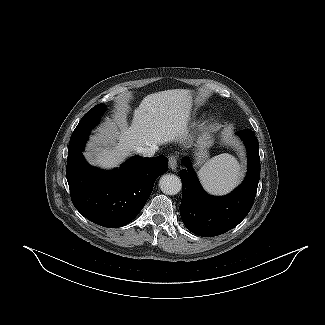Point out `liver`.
Returning <instances> with one entry per match:
<instances>
[{"instance_id": "obj_1", "label": "liver", "mask_w": 325, "mask_h": 325, "mask_svg": "<svg viewBox=\"0 0 325 325\" xmlns=\"http://www.w3.org/2000/svg\"><path fill=\"white\" fill-rule=\"evenodd\" d=\"M192 108L190 91L165 90L147 95L133 112L130 126L126 108L115 117L118 125H108L93 137L91 162L101 168L118 166L139 147L157 146L188 139L187 123Z\"/></svg>"}]
</instances>
